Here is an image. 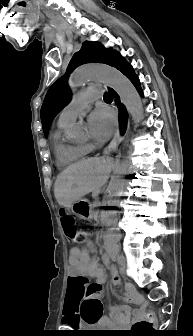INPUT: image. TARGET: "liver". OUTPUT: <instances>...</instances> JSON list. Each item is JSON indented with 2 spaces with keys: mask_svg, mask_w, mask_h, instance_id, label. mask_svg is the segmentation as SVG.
Listing matches in <instances>:
<instances>
[{
  "mask_svg": "<svg viewBox=\"0 0 193 336\" xmlns=\"http://www.w3.org/2000/svg\"><path fill=\"white\" fill-rule=\"evenodd\" d=\"M113 162L109 158L93 157L70 165L54 183V195L59 205H71L90 192H99L107 182Z\"/></svg>",
  "mask_w": 193,
  "mask_h": 336,
  "instance_id": "6515ba94",
  "label": "liver"
}]
</instances>
